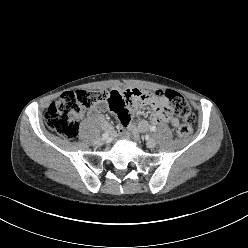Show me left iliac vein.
I'll return each instance as SVG.
<instances>
[{"label": "left iliac vein", "mask_w": 248, "mask_h": 248, "mask_svg": "<svg viewBox=\"0 0 248 248\" xmlns=\"http://www.w3.org/2000/svg\"><path fill=\"white\" fill-rule=\"evenodd\" d=\"M148 148H154L156 146V141L154 138H149L146 142Z\"/></svg>", "instance_id": "left-iliac-vein-1"}]
</instances>
